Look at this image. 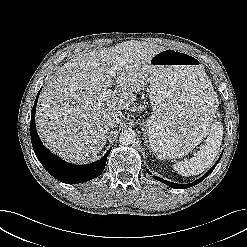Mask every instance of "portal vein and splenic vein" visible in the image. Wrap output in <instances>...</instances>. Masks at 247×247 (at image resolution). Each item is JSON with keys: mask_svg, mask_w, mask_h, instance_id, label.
I'll list each match as a JSON object with an SVG mask.
<instances>
[{"mask_svg": "<svg viewBox=\"0 0 247 247\" xmlns=\"http://www.w3.org/2000/svg\"><path fill=\"white\" fill-rule=\"evenodd\" d=\"M115 70H116V68L111 67V68L109 69V75L112 76V77H114V76H115ZM111 92H112V90H111V89H108V90L106 91V94H110Z\"/></svg>", "mask_w": 247, "mask_h": 247, "instance_id": "18ae733b", "label": "portal vein and splenic vein"}]
</instances>
